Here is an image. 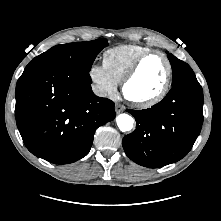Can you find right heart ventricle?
Listing matches in <instances>:
<instances>
[{
	"label": "right heart ventricle",
	"mask_w": 221,
	"mask_h": 221,
	"mask_svg": "<svg viewBox=\"0 0 221 221\" xmlns=\"http://www.w3.org/2000/svg\"><path fill=\"white\" fill-rule=\"evenodd\" d=\"M150 48L138 44H123L106 50L103 54V65L109 75L121 83L134 61Z\"/></svg>",
	"instance_id": "1"
}]
</instances>
